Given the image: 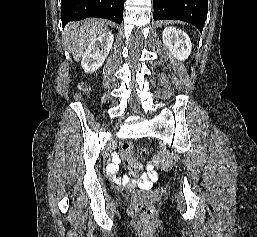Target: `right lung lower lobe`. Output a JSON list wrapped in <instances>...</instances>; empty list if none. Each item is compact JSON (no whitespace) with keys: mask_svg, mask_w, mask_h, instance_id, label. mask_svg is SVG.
Returning a JSON list of instances; mask_svg holds the SVG:
<instances>
[{"mask_svg":"<svg viewBox=\"0 0 257 237\" xmlns=\"http://www.w3.org/2000/svg\"><path fill=\"white\" fill-rule=\"evenodd\" d=\"M125 0H61L62 25L88 17L122 23Z\"/></svg>","mask_w":257,"mask_h":237,"instance_id":"1","label":"right lung lower lobe"}]
</instances>
